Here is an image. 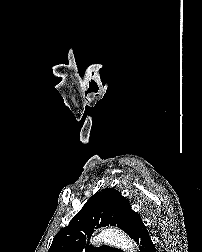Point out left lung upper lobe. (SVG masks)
I'll return each mask as SVG.
<instances>
[{"label": "left lung upper lobe", "instance_id": "5c2ea615", "mask_svg": "<svg viewBox=\"0 0 202 252\" xmlns=\"http://www.w3.org/2000/svg\"><path fill=\"white\" fill-rule=\"evenodd\" d=\"M141 221L129 201L114 188L96 192L69 225L54 237L48 252H123L106 245L92 247L87 242L95 229L117 226L134 239V229Z\"/></svg>", "mask_w": 202, "mask_h": 252}]
</instances>
